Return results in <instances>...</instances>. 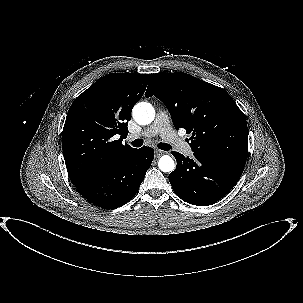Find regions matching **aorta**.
Returning <instances> with one entry per match:
<instances>
[{"label":"aorta","instance_id":"obj_1","mask_svg":"<svg viewBox=\"0 0 303 303\" xmlns=\"http://www.w3.org/2000/svg\"><path fill=\"white\" fill-rule=\"evenodd\" d=\"M134 120L141 125L150 124L155 117V110L150 103H137L132 111ZM158 167L162 172H172L175 169L174 160L169 155H163L158 162Z\"/></svg>","mask_w":303,"mask_h":303}]
</instances>
